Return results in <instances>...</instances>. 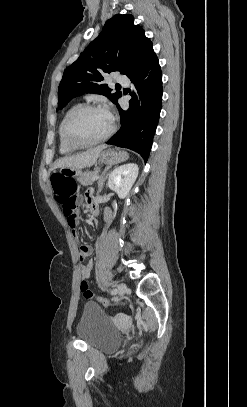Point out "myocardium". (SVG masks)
I'll use <instances>...</instances> for the list:
<instances>
[{
	"label": "myocardium",
	"mask_w": 247,
	"mask_h": 407,
	"mask_svg": "<svg viewBox=\"0 0 247 407\" xmlns=\"http://www.w3.org/2000/svg\"><path fill=\"white\" fill-rule=\"evenodd\" d=\"M86 110L105 111L110 117L111 126H110V129L108 130V132L104 136H102L96 140H93L90 142H78V141L74 140L70 134L71 123L78 114H80L81 112L86 111ZM114 131H115V123H114V119L111 116V114L101 105L87 103V104L78 105L67 116V118L64 122V127H63V137H64V140L67 143V145H69L70 147L75 148V149H81V148H87L90 146H94V145H97V144H100V143L106 141L107 139H109L112 136Z\"/></svg>",
	"instance_id": "1"
}]
</instances>
